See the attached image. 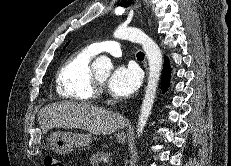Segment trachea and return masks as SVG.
Masks as SVG:
<instances>
[{
  "label": "trachea",
  "mask_w": 231,
  "mask_h": 166,
  "mask_svg": "<svg viewBox=\"0 0 231 166\" xmlns=\"http://www.w3.org/2000/svg\"><path fill=\"white\" fill-rule=\"evenodd\" d=\"M137 59H138V60H143V59H144V53L141 52V51L138 52V53H137Z\"/></svg>",
  "instance_id": "3493384b"
}]
</instances>
